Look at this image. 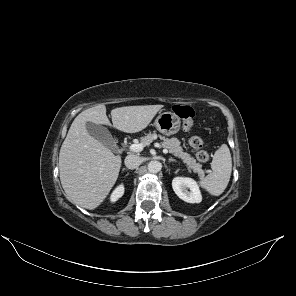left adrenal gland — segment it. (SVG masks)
<instances>
[{"label":"left adrenal gland","mask_w":296,"mask_h":296,"mask_svg":"<svg viewBox=\"0 0 296 296\" xmlns=\"http://www.w3.org/2000/svg\"><path fill=\"white\" fill-rule=\"evenodd\" d=\"M168 162H177V161L175 159H173V158H169Z\"/></svg>","instance_id":"1"}]
</instances>
